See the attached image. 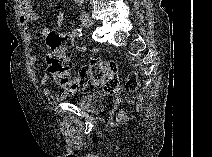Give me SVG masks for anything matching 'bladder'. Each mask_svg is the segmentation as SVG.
Listing matches in <instances>:
<instances>
[{"label":"bladder","instance_id":"bladder-1","mask_svg":"<svg viewBox=\"0 0 212 157\" xmlns=\"http://www.w3.org/2000/svg\"><path fill=\"white\" fill-rule=\"evenodd\" d=\"M74 104L88 112H98L107 104V94L99 91H87L74 99Z\"/></svg>","mask_w":212,"mask_h":157}]
</instances>
